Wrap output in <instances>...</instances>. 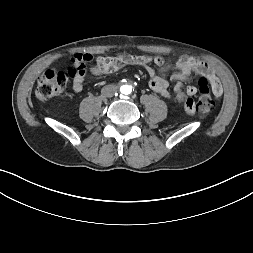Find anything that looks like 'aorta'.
Listing matches in <instances>:
<instances>
[{
  "mask_svg": "<svg viewBox=\"0 0 253 253\" xmlns=\"http://www.w3.org/2000/svg\"><path fill=\"white\" fill-rule=\"evenodd\" d=\"M120 91L123 94H130L132 91V87L129 85H123V86H121Z\"/></svg>",
  "mask_w": 253,
  "mask_h": 253,
  "instance_id": "762f6f07",
  "label": "aorta"
}]
</instances>
